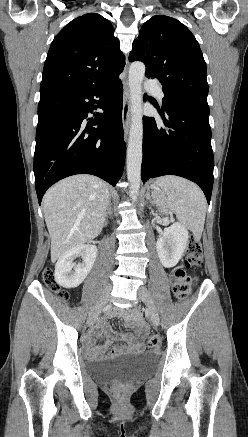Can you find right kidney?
<instances>
[{"label":"right kidney","mask_w":248,"mask_h":437,"mask_svg":"<svg viewBox=\"0 0 248 437\" xmlns=\"http://www.w3.org/2000/svg\"><path fill=\"white\" fill-rule=\"evenodd\" d=\"M79 255H82L83 263L76 265L73 260ZM96 256L97 247L91 244L76 246L66 251L55 265V281L67 289L78 287L91 271Z\"/></svg>","instance_id":"1"}]
</instances>
